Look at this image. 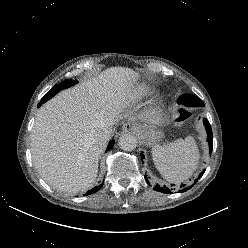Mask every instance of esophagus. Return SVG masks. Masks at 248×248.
Listing matches in <instances>:
<instances>
[{"label":"esophagus","mask_w":248,"mask_h":248,"mask_svg":"<svg viewBox=\"0 0 248 248\" xmlns=\"http://www.w3.org/2000/svg\"><path fill=\"white\" fill-rule=\"evenodd\" d=\"M134 129V125L131 122H126L122 126V131L123 132H131Z\"/></svg>","instance_id":"esophagus-1"}]
</instances>
